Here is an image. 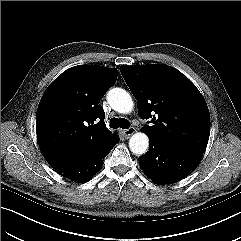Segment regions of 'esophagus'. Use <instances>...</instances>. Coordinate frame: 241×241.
<instances>
[{
    "instance_id": "esophagus-1",
    "label": "esophagus",
    "mask_w": 241,
    "mask_h": 241,
    "mask_svg": "<svg viewBox=\"0 0 241 241\" xmlns=\"http://www.w3.org/2000/svg\"><path fill=\"white\" fill-rule=\"evenodd\" d=\"M135 132H136V129L134 127H130L123 131L124 135L127 137L133 135Z\"/></svg>"
}]
</instances>
